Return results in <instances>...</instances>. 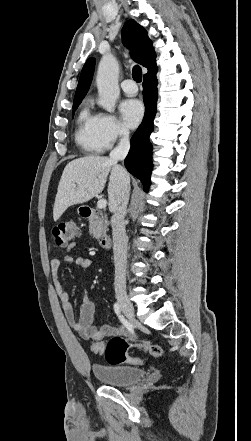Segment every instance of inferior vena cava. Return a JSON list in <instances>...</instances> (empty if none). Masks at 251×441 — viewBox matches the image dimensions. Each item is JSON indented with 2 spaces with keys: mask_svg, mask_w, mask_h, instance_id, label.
I'll return each instance as SVG.
<instances>
[{
  "mask_svg": "<svg viewBox=\"0 0 251 441\" xmlns=\"http://www.w3.org/2000/svg\"><path fill=\"white\" fill-rule=\"evenodd\" d=\"M120 141L110 152V161H123L130 149L129 131L120 130ZM123 192L118 205L113 210L111 218L113 235V254L115 265L114 287L116 294L126 293V264H127V243L128 238L125 231L124 218L129 201L130 178L125 169L122 170Z\"/></svg>",
  "mask_w": 251,
  "mask_h": 441,
  "instance_id": "602c4592",
  "label": "inferior vena cava"
}]
</instances>
